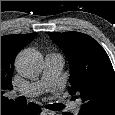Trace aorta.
Masks as SVG:
<instances>
[{"label": "aorta", "mask_w": 115, "mask_h": 115, "mask_svg": "<svg viewBox=\"0 0 115 115\" xmlns=\"http://www.w3.org/2000/svg\"><path fill=\"white\" fill-rule=\"evenodd\" d=\"M15 64L17 72L21 76L34 78L41 72L43 63L41 55L37 51L26 49L18 54Z\"/></svg>", "instance_id": "aorta-1"}]
</instances>
